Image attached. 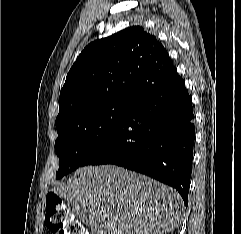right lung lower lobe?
<instances>
[{"label":"right lung lower lobe","mask_w":241,"mask_h":234,"mask_svg":"<svg viewBox=\"0 0 241 234\" xmlns=\"http://www.w3.org/2000/svg\"><path fill=\"white\" fill-rule=\"evenodd\" d=\"M192 102L173 67L134 100L111 135L81 166L115 164L176 188L188 205L195 138Z\"/></svg>","instance_id":"obj_1"}]
</instances>
